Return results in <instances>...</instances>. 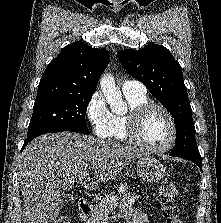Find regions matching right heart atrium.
Returning <instances> with one entry per match:
<instances>
[{
  "instance_id": "1",
  "label": "right heart atrium",
  "mask_w": 221,
  "mask_h": 223,
  "mask_svg": "<svg viewBox=\"0 0 221 223\" xmlns=\"http://www.w3.org/2000/svg\"><path fill=\"white\" fill-rule=\"evenodd\" d=\"M111 116L101 93H93L86 104L85 117L95 137L107 138L110 136Z\"/></svg>"
}]
</instances>
